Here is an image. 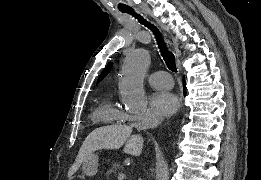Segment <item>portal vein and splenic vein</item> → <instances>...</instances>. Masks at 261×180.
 <instances>
[{
    "label": "portal vein and splenic vein",
    "instance_id": "18ae733b",
    "mask_svg": "<svg viewBox=\"0 0 261 180\" xmlns=\"http://www.w3.org/2000/svg\"><path fill=\"white\" fill-rule=\"evenodd\" d=\"M118 180H126L125 174L118 173Z\"/></svg>",
    "mask_w": 261,
    "mask_h": 180
}]
</instances>
